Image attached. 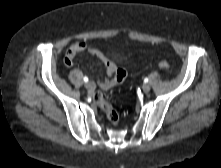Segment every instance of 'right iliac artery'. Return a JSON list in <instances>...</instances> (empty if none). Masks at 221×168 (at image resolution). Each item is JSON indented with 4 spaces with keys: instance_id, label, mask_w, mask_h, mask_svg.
Wrapping results in <instances>:
<instances>
[{
    "instance_id": "right-iliac-artery-1",
    "label": "right iliac artery",
    "mask_w": 221,
    "mask_h": 168,
    "mask_svg": "<svg viewBox=\"0 0 221 168\" xmlns=\"http://www.w3.org/2000/svg\"><path fill=\"white\" fill-rule=\"evenodd\" d=\"M83 80L84 82H88V78L86 76L83 78Z\"/></svg>"
}]
</instances>
